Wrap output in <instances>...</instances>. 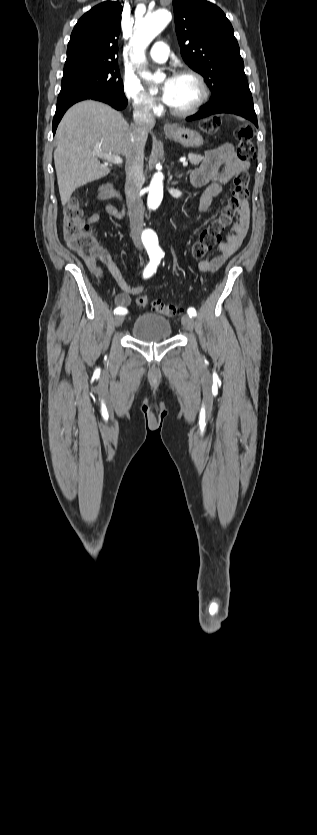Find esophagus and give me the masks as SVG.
<instances>
[{
    "label": "esophagus",
    "mask_w": 317,
    "mask_h": 835,
    "mask_svg": "<svg viewBox=\"0 0 317 835\" xmlns=\"http://www.w3.org/2000/svg\"><path fill=\"white\" fill-rule=\"evenodd\" d=\"M176 129V127L171 123L164 124V131L165 132H172Z\"/></svg>",
    "instance_id": "1"
}]
</instances>
